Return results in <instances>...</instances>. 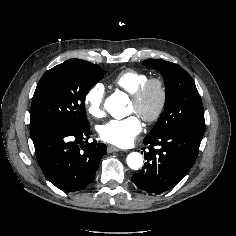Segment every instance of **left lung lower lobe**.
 Segmentation results:
<instances>
[{
    "mask_svg": "<svg viewBox=\"0 0 236 236\" xmlns=\"http://www.w3.org/2000/svg\"><path fill=\"white\" fill-rule=\"evenodd\" d=\"M203 135L204 132L188 129L148 134L143 140L149 149L144 152L147 161L132 181L155 194L173 188L195 163Z\"/></svg>",
    "mask_w": 236,
    "mask_h": 236,
    "instance_id": "obj_1",
    "label": "left lung lower lobe"
}]
</instances>
